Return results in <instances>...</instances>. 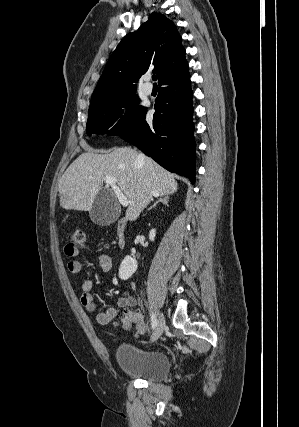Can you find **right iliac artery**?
Listing matches in <instances>:
<instances>
[{"label": "right iliac artery", "mask_w": 299, "mask_h": 427, "mask_svg": "<svg viewBox=\"0 0 299 427\" xmlns=\"http://www.w3.org/2000/svg\"><path fill=\"white\" fill-rule=\"evenodd\" d=\"M157 318L156 316L152 313L151 314V325H152V329H155L157 326Z\"/></svg>", "instance_id": "82829eb1"}]
</instances>
